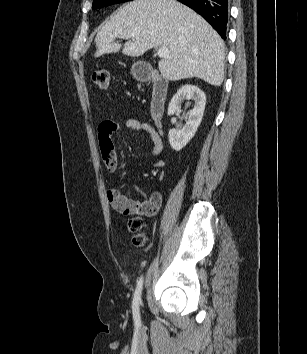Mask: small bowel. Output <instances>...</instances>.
<instances>
[{
	"mask_svg": "<svg viewBox=\"0 0 307 354\" xmlns=\"http://www.w3.org/2000/svg\"><path fill=\"white\" fill-rule=\"evenodd\" d=\"M127 129L138 131L148 138L152 146V155L158 156L163 151V142L160 134L149 123L138 119L129 118L124 122ZM120 129V124L114 120H105L98 127L99 145L103 161L110 172H115L118 168V158L112 141V135ZM107 197L112 206L117 210H128L130 214H143L152 216L158 210L161 203V195L153 192L149 199L137 202L123 196L119 189L112 187L107 191Z\"/></svg>",
	"mask_w": 307,
	"mask_h": 354,
	"instance_id": "c3829d8e",
	"label": "small bowel"
}]
</instances>
